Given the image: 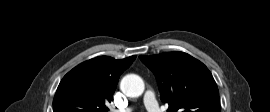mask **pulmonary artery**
I'll return each instance as SVG.
<instances>
[{
	"mask_svg": "<svg viewBox=\"0 0 270 112\" xmlns=\"http://www.w3.org/2000/svg\"><path fill=\"white\" fill-rule=\"evenodd\" d=\"M144 103L148 112H162L158 102L156 101L153 91L148 90L144 95ZM116 112H131L130 109L117 110Z\"/></svg>",
	"mask_w": 270,
	"mask_h": 112,
	"instance_id": "pulmonary-artery-1",
	"label": "pulmonary artery"
}]
</instances>
